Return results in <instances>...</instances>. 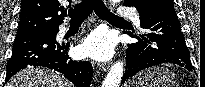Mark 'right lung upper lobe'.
<instances>
[{
    "label": "right lung upper lobe",
    "instance_id": "right-lung-upper-lobe-1",
    "mask_svg": "<svg viewBox=\"0 0 205 87\" xmlns=\"http://www.w3.org/2000/svg\"><path fill=\"white\" fill-rule=\"evenodd\" d=\"M65 16L66 10L60 0H22L17 34L56 29Z\"/></svg>",
    "mask_w": 205,
    "mask_h": 87
}]
</instances>
